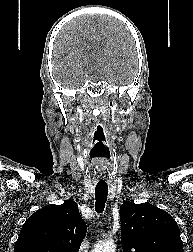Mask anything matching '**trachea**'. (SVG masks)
I'll return each mask as SVG.
<instances>
[{
  "mask_svg": "<svg viewBox=\"0 0 193 252\" xmlns=\"http://www.w3.org/2000/svg\"><path fill=\"white\" fill-rule=\"evenodd\" d=\"M108 185L97 184L95 188V208L97 213H102L107 201Z\"/></svg>",
  "mask_w": 193,
  "mask_h": 252,
  "instance_id": "3493384b",
  "label": "trachea"
}]
</instances>
